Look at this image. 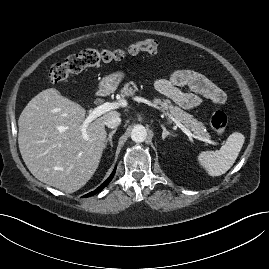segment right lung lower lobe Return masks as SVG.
Returning a JSON list of instances; mask_svg holds the SVG:
<instances>
[{"label":"right lung lower lobe","instance_id":"1","mask_svg":"<svg viewBox=\"0 0 269 269\" xmlns=\"http://www.w3.org/2000/svg\"><path fill=\"white\" fill-rule=\"evenodd\" d=\"M115 171H116V167L113 170L112 174L109 176V178L102 185H100L96 190L86 194L84 197H90V196L100 192L104 187H106L109 184V182L112 180V178H113V176L115 174Z\"/></svg>","mask_w":269,"mask_h":269}]
</instances>
